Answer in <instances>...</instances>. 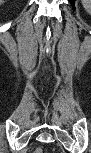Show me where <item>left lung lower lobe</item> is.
<instances>
[{"label":"left lung lower lobe","mask_w":91,"mask_h":153,"mask_svg":"<svg viewBox=\"0 0 91 153\" xmlns=\"http://www.w3.org/2000/svg\"><path fill=\"white\" fill-rule=\"evenodd\" d=\"M69 1H70V3L72 4L73 9H74V1H75V0H69Z\"/></svg>","instance_id":"left-lung-lower-lobe-1"}]
</instances>
